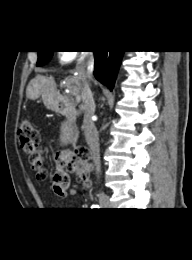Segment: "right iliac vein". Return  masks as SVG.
Masks as SVG:
<instances>
[{"label": "right iliac vein", "mask_w": 192, "mask_h": 260, "mask_svg": "<svg viewBox=\"0 0 192 260\" xmlns=\"http://www.w3.org/2000/svg\"><path fill=\"white\" fill-rule=\"evenodd\" d=\"M99 203L102 208H110L111 207V202L108 198V196L104 193H99Z\"/></svg>", "instance_id": "right-iliac-vein-1"}]
</instances>
